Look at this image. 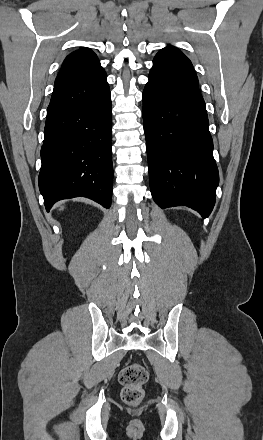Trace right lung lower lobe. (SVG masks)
I'll use <instances>...</instances> for the list:
<instances>
[{
  "label": "right lung lower lobe",
  "mask_w": 263,
  "mask_h": 440,
  "mask_svg": "<svg viewBox=\"0 0 263 440\" xmlns=\"http://www.w3.org/2000/svg\"><path fill=\"white\" fill-rule=\"evenodd\" d=\"M106 78L102 70L53 91L39 174L47 211L58 200L79 196L111 206L112 112Z\"/></svg>",
  "instance_id": "right-lung-lower-lobe-1"
}]
</instances>
